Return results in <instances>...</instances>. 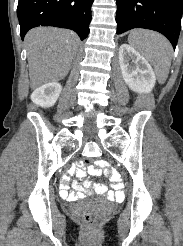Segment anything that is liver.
<instances>
[{"mask_svg": "<svg viewBox=\"0 0 183 246\" xmlns=\"http://www.w3.org/2000/svg\"><path fill=\"white\" fill-rule=\"evenodd\" d=\"M25 43L30 86L36 89L67 76L77 53L79 37L66 29L40 27L27 33Z\"/></svg>", "mask_w": 183, "mask_h": 246, "instance_id": "liver-1", "label": "liver"}]
</instances>
